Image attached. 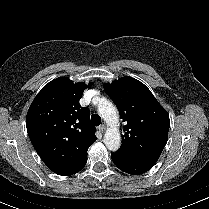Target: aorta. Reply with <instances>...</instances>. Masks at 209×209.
<instances>
[{"instance_id":"aorta-1","label":"aorta","mask_w":209,"mask_h":209,"mask_svg":"<svg viewBox=\"0 0 209 209\" xmlns=\"http://www.w3.org/2000/svg\"><path fill=\"white\" fill-rule=\"evenodd\" d=\"M98 113L109 126L104 135V144L108 150L115 152L121 146V137L117 128L119 122L117 109L106 98H101Z\"/></svg>"}]
</instances>
